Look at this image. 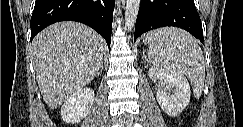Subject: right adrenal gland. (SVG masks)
<instances>
[{
  "instance_id": "1",
  "label": "right adrenal gland",
  "mask_w": 243,
  "mask_h": 127,
  "mask_svg": "<svg viewBox=\"0 0 243 127\" xmlns=\"http://www.w3.org/2000/svg\"><path fill=\"white\" fill-rule=\"evenodd\" d=\"M102 70H103V65L101 66V68H100V70H99V72H98V75H101Z\"/></svg>"
}]
</instances>
